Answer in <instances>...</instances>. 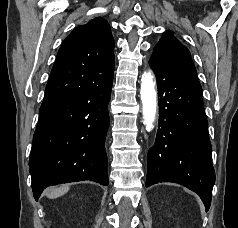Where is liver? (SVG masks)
Segmentation results:
<instances>
[{
  "label": "liver",
  "instance_id": "obj_1",
  "mask_svg": "<svg viewBox=\"0 0 238 228\" xmlns=\"http://www.w3.org/2000/svg\"><path fill=\"white\" fill-rule=\"evenodd\" d=\"M68 190H69V186H61L57 188H52L49 191H47L46 196L48 198L54 199L64 195L65 193L68 192Z\"/></svg>",
  "mask_w": 238,
  "mask_h": 228
}]
</instances>
